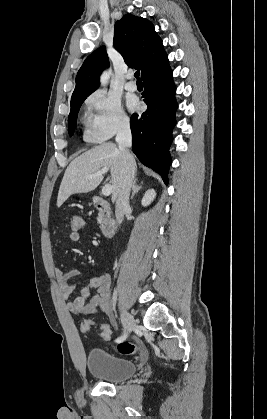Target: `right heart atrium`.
I'll return each mask as SVG.
<instances>
[{
    "label": "right heart atrium",
    "mask_w": 267,
    "mask_h": 419,
    "mask_svg": "<svg viewBox=\"0 0 267 419\" xmlns=\"http://www.w3.org/2000/svg\"><path fill=\"white\" fill-rule=\"evenodd\" d=\"M86 105L91 112L88 137L102 142L129 126V118L118 98L104 90H98L88 96Z\"/></svg>",
    "instance_id": "d8ad5b80"
}]
</instances>
